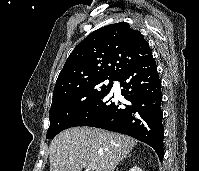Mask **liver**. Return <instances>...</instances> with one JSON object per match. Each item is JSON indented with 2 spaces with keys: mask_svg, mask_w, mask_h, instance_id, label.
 I'll list each match as a JSON object with an SVG mask.
<instances>
[{
  "mask_svg": "<svg viewBox=\"0 0 199 171\" xmlns=\"http://www.w3.org/2000/svg\"><path fill=\"white\" fill-rule=\"evenodd\" d=\"M136 140L94 127H73L62 131L50 145V171H81L90 164L93 171H114L133 149Z\"/></svg>",
  "mask_w": 199,
  "mask_h": 171,
  "instance_id": "liver-1",
  "label": "liver"
}]
</instances>
